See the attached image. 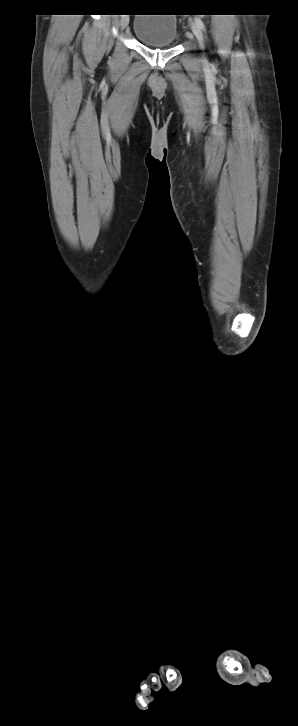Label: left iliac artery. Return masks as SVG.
<instances>
[{
	"instance_id": "left-iliac-artery-1",
	"label": "left iliac artery",
	"mask_w": 298,
	"mask_h": 726,
	"mask_svg": "<svg viewBox=\"0 0 298 726\" xmlns=\"http://www.w3.org/2000/svg\"><path fill=\"white\" fill-rule=\"evenodd\" d=\"M194 20L197 23V25L200 27V29L205 30V25L199 17H195Z\"/></svg>"
}]
</instances>
